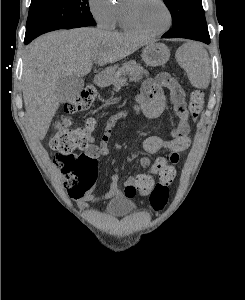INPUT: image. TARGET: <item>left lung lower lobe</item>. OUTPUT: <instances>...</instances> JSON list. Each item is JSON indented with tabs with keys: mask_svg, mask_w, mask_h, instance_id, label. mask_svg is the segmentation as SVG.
<instances>
[{
	"mask_svg": "<svg viewBox=\"0 0 245 300\" xmlns=\"http://www.w3.org/2000/svg\"><path fill=\"white\" fill-rule=\"evenodd\" d=\"M163 38H176L178 36H169V35H163ZM182 38H189V39H193V40H198V41H202L205 43H210V37L209 34L204 32V33H197V34H192V35H182L180 36Z\"/></svg>",
	"mask_w": 245,
	"mask_h": 300,
	"instance_id": "left-lung-lower-lobe-1",
	"label": "left lung lower lobe"
}]
</instances>
